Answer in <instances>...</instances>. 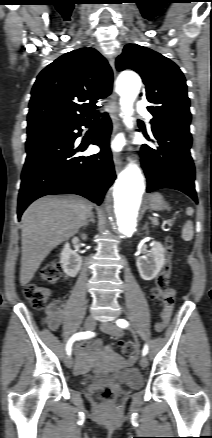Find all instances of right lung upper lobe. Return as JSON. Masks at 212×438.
<instances>
[{
	"mask_svg": "<svg viewBox=\"0 0 212 438\" xmlns=\"http://www.w3.org/2000/svg\"><path fill=\"white\" fill-rule=\"evenodd\" d=\"M113 73L93 48L68 52L38 75L32 88L28 130L51 123L90 121L96 102L112 90Z\"/></svg>",
	"mask_w": 212,
	"mask_h": 438,
	"instance_id": "cb5924a9",
	"label": "right lung upper lobe"
}]
</instances>
